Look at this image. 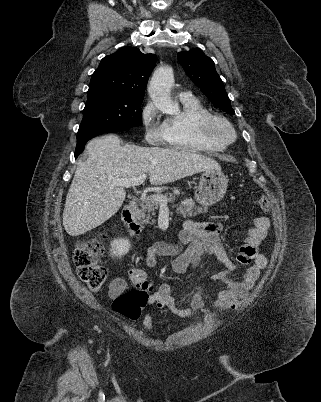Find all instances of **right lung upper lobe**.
Instances as JSON below:
<instances>
[{"mask_svg": "<svg viewBox=\"0 0 321 402\" xmlns=\"http://www.w3.org/2000/svg\"><path fill=\"white\" fill-rule=\"evenodd\" d=\"M156 64L154 54H144L135 47L120 48L101 60L92 75L88 91L143 99L144 86Z\"/></svg>", "mask_w": 321, "mask_h": 402, "instance_id": "cb5924a9", "label": "right lung upper lobe"}]
</instances>
